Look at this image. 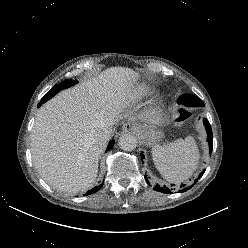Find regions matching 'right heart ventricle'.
Returning <instances> with one entry per match:
<instances>
[{
  "mask_svg": "<svg viewBox=\"0 0 248 248\" xmlns=\"http://www.w3.org/2000/svg\"><path fill=\"white\" fill-rule=\"evenodd\" d=\"M155 88L147 85L141 84L134 91V97L138 100L146 99L155 93Z\"/></svg>",
  "mask_w": 248,
  "mask_h": 248,
  "instance_id": "e07e8e85",
  "label": "right heart ventricle"
}]
</instances>
